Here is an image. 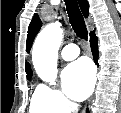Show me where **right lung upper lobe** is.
Here are the masks:
<instances>
[{
    "instance_id": "obj_1",
    "label": "right lung upper lobe",
    "mask_w": 121,
    "mask_h": 113,
    "mask_svg": "<svg viewBox=\"0 0 121 113\" xmlns=\"http://www.w3.org/2000/svg\"><path fill=\"white\" fill-rule=\"evenodd\" d=\"M78 2H79L83 15L85 16V18H87L89 15L88 1L87 0H78ZM40 27H41V21L36 14V15H34L32 21L29 25V28H28V36H27V42H26V51L27 52L30 51L34 37L37 34V32L39 31ZM25 67H26L27 78H29V77L31 78L33 73L30 68V65L28 63H26Z\"/></svg>"
}]
</instances>
